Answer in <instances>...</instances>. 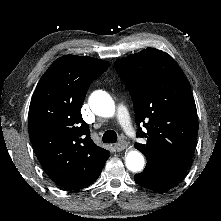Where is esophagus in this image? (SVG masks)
<instances>
[{
    "label": "esophagus",
    "mask_w": 221,
    "mask_h": 221,
    "mask_svg": "<svg viewBox=\"0 0 221 221\" xmlns=\"http://www.w3.org/2000/svg\"><path fill=\"white\" fill-rule=\"evenodd\" d=\"M128 146L127 142L124 141V140H121L120 142H118L116 145H115V149L117 152H120L124 149H126Z\"/></svg>",
    "instance_id": "1"
}]
</instances>
